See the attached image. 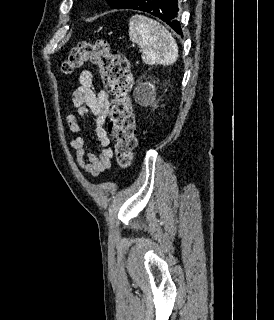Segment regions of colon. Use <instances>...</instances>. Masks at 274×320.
<instances>
[{
  "label": "colon",
  "mask_w": 274,
  "mask_h": 320,
  "mask_svg": "<svg viewBox=\"0 0 274 320\" xmlns=\"http://www.w3.org/2000/svg\"><path fill=\"white\" fill-rule=\"evenodd\" d=\"M84 64L99 69L106 90L112 97L108 128L115 142V156L119 166L129 168L136 147L135 117L129 96L133 82L129 63L123 53L112 51L107 41L99 40L70 49L61 70L71 74Z\"/></svg>",
  "instance_id": "colon-1"
}]
</instances>
